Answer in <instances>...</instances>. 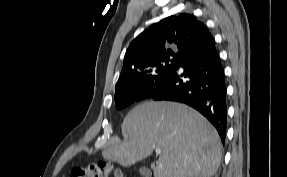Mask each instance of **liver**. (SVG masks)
<instances>
[{"label":"liver","instance_id":"1","mask_svg":"<svg viewBox=\"0 0 287 177\" xmlns=\"http://www.w3.org/2000/svg\"><path fill=\"white\" fill-rule=\"evenodd\" d=\"M126 140L106 148V160L131 166L161 150L154 177H211L220 165L222 146L215 128L197 111L180 103L146 101L124 118Z\"/></svg>","mask_w":287,"mask_h":177}]
</instances>
